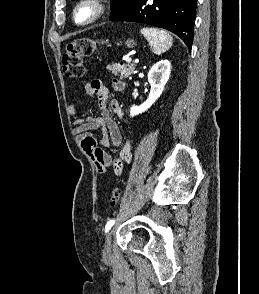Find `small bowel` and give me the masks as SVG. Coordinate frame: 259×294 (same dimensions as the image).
Returning <instances> with one entry per match:
<instances>
[{
  "mask_svg": "<svg viewBox=\"0 0 259 294\" xmlns=\"http://www.w3.org/2000/svg\"><path fill=\"white\" fill-rule=\"evenodd\" d=\"M113 90L120 92L125 84L119 79L112 81ZM85 92L89 96H94L98 100L100 116L79 118L73 122V133L79 139L82 149L94 162L99 172H104L106 168L112 167L115 175L119 176L123 172L124 164L129 163L132 158L130 141L124 142V136L113 120L111 114L124 118V112L121 105L116 101H109L110 92L106 85L100 80H92L85 84ZM68 114L76 117L78 108L76 105L68 107ZM100 130L102 137L96 140L93 133ZM115 147L122 145L116 157L111 156L98 145Z\"/></svg>",
  "mask_w": 259,
  "mask_h": 294,
  "instance_id": "obj_1",
  "label": "small bowel"
}]
</instances>
